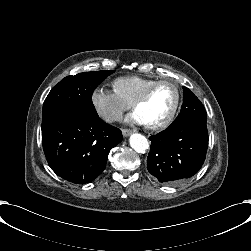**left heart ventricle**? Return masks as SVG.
<instances>
[{
    "mask_svg": "<svg viewBox=\"0 0 251 251\" xmlns=\"http://www.w3.org/2000/svg\"><path fill=\"white\" fill-rule=\"evenodd\" d=\"M176 100L175 86L171 83H163L152 92L150 98L137 109V112L145 124H156L167 118Z\"/></svg>",
    "mask_w": 251,
    "mask_h": 251,
    "instance_id": "1",
    "label": "left heart ventricle"
}]
</instances>
